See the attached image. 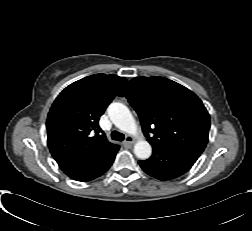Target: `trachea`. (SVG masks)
Segmentation results:
<instances>
[{
  "instance_id": "1",
  "label": "trachea",
  "mask_w": 252,
  "mask_h": 231,
  "mask_svg": "<svg viewBox=\"0 0 252 231\" xmlns=\"http://www.w3.org/2000/svg\"><path fill=\"white\" fill-rule=\"evenodd\" d=\"M111 137L113 140H117V141H123L125 139L124 134L118 132V131H113L111 133Z\"/></svg>"
}]
</instances>
